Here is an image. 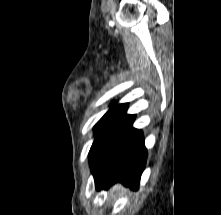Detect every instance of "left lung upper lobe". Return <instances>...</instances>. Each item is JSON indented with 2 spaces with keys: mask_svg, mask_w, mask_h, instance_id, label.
Returning a JSON list of instances; mask_svg holds the SVG:
<instances>
[{
  "mask_svg": "<svg viewBox=\"0 0 221 215\" xmlns=\"http://www.w3.org/2000/svg\"><path fill=\"white\" fill-rule=\"evenodd\" d=\"M127 106V103L116 104V102H113L110 105L109 111L94 126V132L96 136L88 155L90 167L93 166V163L103 145L104 139L109 129L116 121V119L127 110Z\"/></svg>",
  "mask_w": 221,
  "mask_h": 215,
  "instance_id": "5c2ea615",
  "label": "left lung upper lobe"
}]
</instances>
